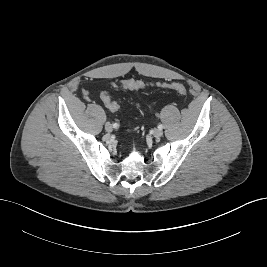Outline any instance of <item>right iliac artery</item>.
<instances>
[{"instance_id":"82829eb1","label":"right iliac artery","mask_w":267,"mask_h":267,"mask_svg":"<svg viewBox=\"0 0 267 267\" xmlns=\"http://www.w3.org/2000/svg\"><path fill=\"white\" fill-rule=\"evenodd\" d=\"M118 126H119V125H118L117 123H114V124H113V127H114V128H117Z\"/></svg>"}]
</instances>
